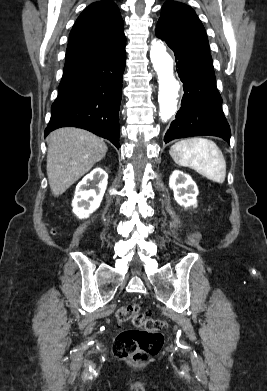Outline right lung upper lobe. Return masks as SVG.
Returning <instances> with one entry per match:
<instances>
[{"mask_svg":"<svg viewBox=\"0 0 267 391\" xmlns=\"http://www.w3.org/2000/svg\"><path fill=\"white\" fill-rule=\"evenodd\" d=\"M125 45L124 24L117 5L112 0L92 3L80 14L70 32L64 68Z\"/></svg>","mask_w":267,"mask_h":391,"instance_id":"right-lung-upper-lobe-1","label":"right lung upper lobe"}]
</instances>
